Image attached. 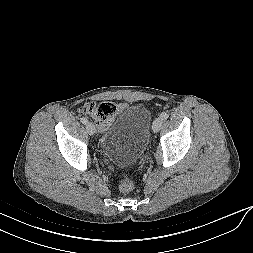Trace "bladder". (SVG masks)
<instances>
[{"label":"bladder","mask_w":253,"mask_h":253,"mask_svg":"<svg viewBox=\"0 0 253 253\" xmlns=\"http://www.w3.org/2000/svg\"><path fill=\"white\" fill-rule=\"evenodd\" d=\"M151 119L145 106L130 105L119 110L102 130L103 155L118 166L135 164L147 149Z\"/></svg>","instance_id":"1"}]
</instances>
